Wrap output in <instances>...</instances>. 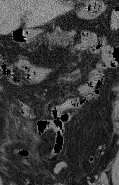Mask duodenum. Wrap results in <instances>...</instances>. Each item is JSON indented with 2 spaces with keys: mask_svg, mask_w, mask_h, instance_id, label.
<instances>
[{
  "mask_svg": "<svg viewBox=\"0 0 119 185\" xmlns=\"http://www.w3.org/2000/svg\"><path fill=\"white\" fill-rule=\"evenodd\" d=\"M16 36H17L18 40L23 41L25 35L22 31H18Z\"/></svg>",
  "mask_w": 119,
  "mask_h": 185,
  "instance_id": "1",
  "label": "duodenum"
}]
</instances>
